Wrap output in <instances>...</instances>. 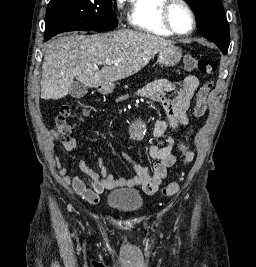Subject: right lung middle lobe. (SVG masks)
<instances>
[{
	"instance_id": "1",
	"label": "right lung middle lobe",
	"mask_w": 256,
	"mask_h": 267,
	"mask_svg": "<svg viewBox=\"0 0 256 267\" xmlns=\"http://www.w3.org/2000/svg\"><path fill=\"white\" fill-rule=\"evenodd\" d=\"M112 0H50L45 39L66 31H107L117 26Z\"/></svg>"
}]
</instances>
